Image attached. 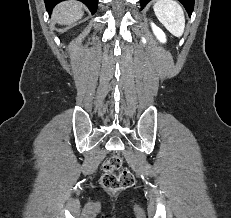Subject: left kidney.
<instances>
[{"label":"left kidney","instance_id":"left-kidney-1","mask_svg":"<svg viewBox=\"0 0 231 218\" xmlns=\"http://www.w3.org/2000/svg\"><path fill=\"white\" fill-rule=\"evenodd\" d=\"M151 27L157 39L160 42L164 43L166 41L165 33L159 27H157L154 23H151Z\"/></svg>","mask_w":231,"mask_h":218}]
</instances>
